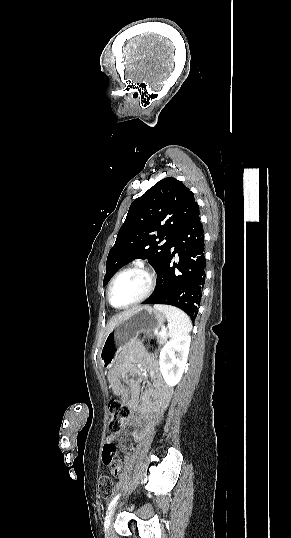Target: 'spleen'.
Instances as JSON below:
<instances>
[{
	"instance_id": "1",
	"label": "spleen",
	"mask_w": 291,
	"mask_h": 538,
	"mask_svg": "<svg viewBox=\"0 0 291 538\" xmlns=\"http://www.w3.org/2000/svg\"><path fill=\"white\" fill-rule=\"evenodd\" d=\"M154 308L164 313L168 321V336L175 338L187 334L192 330L189 316L174 306L156 304Z\"/></svg>"
}]
</instances>
